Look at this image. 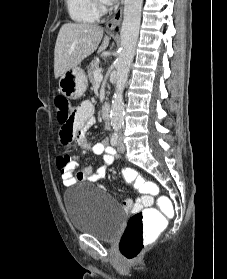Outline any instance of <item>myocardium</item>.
<instances>
[{"mask_svg":"<svg viewBox=\"0 0 227 279\" xmlns=\"http://www.w3.org/2000/svg\"><path fill=\"white\" fill-rule=\"evenodd\" d=\"M92 1L97 2L98 0H92Z\"/></svg>","mask_w":227,"mask_h":279,"instance_id":"f54148a6","label":"myocardium"}]
</instances>
